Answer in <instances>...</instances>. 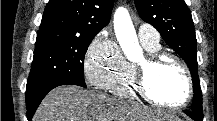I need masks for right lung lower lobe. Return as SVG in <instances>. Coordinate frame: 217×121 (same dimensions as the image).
I'll return each instance as SVG.
<instances>
[{
    "instance_id": "1",
    "label": "right lung lower lobe",
    "mask_w": 217,
    "mask_h": 121,
    "mask_svg": "<svg viewBox=\"0 0 217 121\" xmlns=\"http://www.w3.org/2000/svg\"><path fill=\"white\" fill-rule=\"evenodd\" d=\"M66 84L76 85L72 80L67 78H53L45 80L37 85L26 89V106L28 121L32 120L33 114L35 113L42 99L49 91H51L57 86Z\"/></svg>"
}]
</instances>
